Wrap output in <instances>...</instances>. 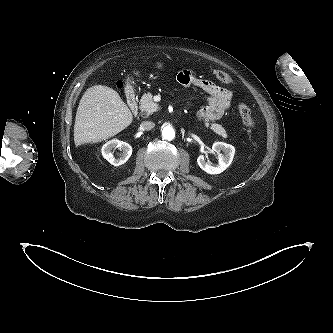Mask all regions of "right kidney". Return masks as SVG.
I'll list each match as a JSON object with an SVG mask.
<instances>
[{
    "label": "right kidney",
    "mask_w": 333,
    "mask_h": 333,
    "mask_svg": "<svg viewBox=\"0 0 333 333\" xmlns=\"http://www.w3.org/2000/svg\"><path fill=\"white\" fill-rule=\"evenodd\" d=\"M120 149L122 153L118 158L113 156V149ZM102 156L113 166H119L124 164L132 155V147L130 144L119 141L118 139H113L106 142L101 148Z\"/></svg>",
    "instance_id": "right-kidney-1"
}]
</instances>
